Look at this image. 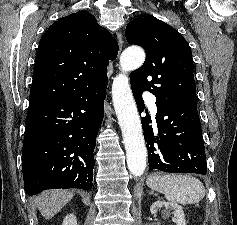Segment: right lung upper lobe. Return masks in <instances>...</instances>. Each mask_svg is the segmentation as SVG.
<instances>
[{
    "mask_svg": "<svg viewBox=\"0 0 237 225\" xmlns=\"http://www.w3.org/2000/svg\"><path fill=\"white\" fill-rule=\"evenodd\" d=\"M117 53V41L92 14L80 11L59 19L40 40L29 106L108 83L107 65Z\"/></svg>",
    "mask_w": 237,
    "mask_h": 225,
    "instance_id": "cb5924a9",
    "label": "right lung upper lobe"
}]
</instances>
